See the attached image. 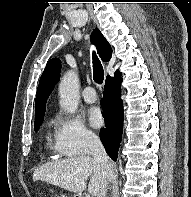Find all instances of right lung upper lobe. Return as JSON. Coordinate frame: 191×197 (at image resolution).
I'll use <instances>...</instances> for the list:
<instances>
[{
	"label": "right lung upper lobe",
	"mask_w": 191,
	"mask_h": 197,
	"mask_svg": "<svg viewBox=\"0 0 191 197\" xmlns=\"http://www.w3.org/2000/svg\"><path fill=\"white\" fill-rule=\"evenodd\" d=\"M91 42L96 46L100 58L105 62L109 61L112 55V48L98 28L92 32ZM60 69L61 61L58 58L51 59L44 69L36 94L35 124L43 120L46 100L59 80ZM118 72L116 71V73Z\"/></svg>",
	"instance_id": "right-lung-upper-lobe-1"
}]
</instances>
